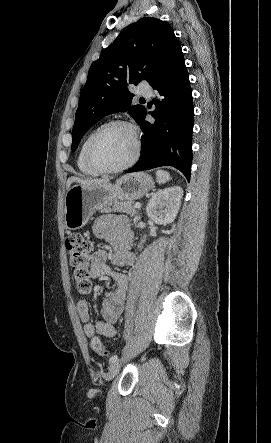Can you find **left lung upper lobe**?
Listing matches in <instances>:
<instances>
[{
	"label": "left lung upper lobe",
	"mask_w": 271,
	"mask_h": 443,
	"mask_svg": "<svg viewBox=\"0 0 271 443\" xmlns=\"http://www.w3.org/2000/svg\"><path fill=\"white\" fill-rule=\"evenodd\" d=\"M177 46L171 26L157 18H141L124 29L89 69L72 130V151L85 132L110 113L129 111L139 124L145 108L131 106L127 86L148 80Z\"/></svg>",
	"instance_id": "left-lung-upper-lobe-1"
}]
</instances>
